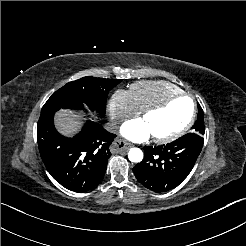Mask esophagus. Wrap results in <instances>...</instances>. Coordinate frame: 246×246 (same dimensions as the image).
<instances>
[{
    "instance_id": "1",
    "label": "esophagus",
    "mask_w": 246,
    "mask_h": 246,
    "mask_svg": "<svg viewBox=\"0 0 246 246\" xmlns=\"http://www.w3.org/2000/svg\"><path fill=\"white\" fill-rule=\"evenodd\" d=\"M130 147H131V145L123 142V140H115L110 147V151H111V153L115 154V153H119L121 151H125Z\"/></svg>"
}]
</instances>
